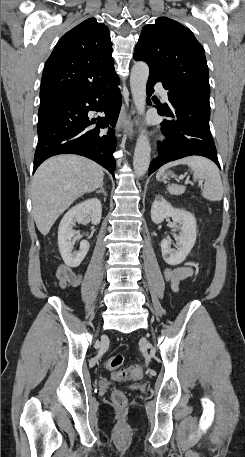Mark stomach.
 <instances>
[{"label": "stomach", "mask_w": 245, "mask_h": 457, "mask_svg": "<svg viewBox=\"0 0 245 457\" xmlns=\"http://www.w3.org/2000/svg\"><path fill=\"white\" fill-rule=\"evenodd\" d=\"M168 174H173V172H171V170H168V172H164V174H162L163 178H167Z\"/></svg>", "instance_id": "obj_1"}]
</instances>
